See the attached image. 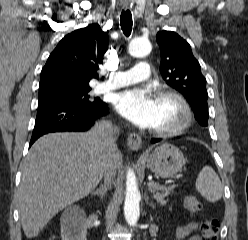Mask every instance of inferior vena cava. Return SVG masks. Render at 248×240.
<instances>
[{"mask_svg": "<svg viewBox=\"0 0 248 240\" xmlns=\"http://www.w3.org/2000/svg\"><path fill=\"white\" fill-rule=\"evenodd\" d=\"M106 142L109 146V151L113 152L117 150V145L115 143L116 135L119 133V128L112 126L111 123L106 125ZM116 175V166L113 162L112 155L109 153L105 160V186H109L112 183L113 178ZM107 188V187H106Z\"/></svg>", "mask_w": 248, "mask_h": 240, "instance_id": "obj_1", "label": "inferior vena cava"}]
</instances>
